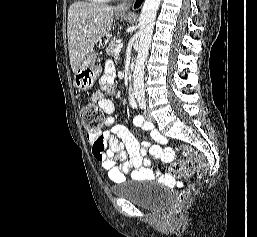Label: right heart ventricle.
<instances>
[{"label": "right heart ventricle", "instance_id": "e07e8e85", "mask_svg": "<svg viewBox=\"0 0 257 237\" xmlns=\"http://www.w3.org/2000/svg\"><path fill=\"white\" fill-rule=\"evenodd\" d=\"M89 3H92V4H99V3H104L106 2L107 0H87Z\"/></svg>", "mask_w": 257, "mask_h": 237}]
</instances>
